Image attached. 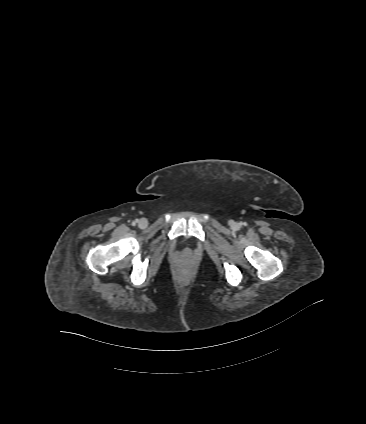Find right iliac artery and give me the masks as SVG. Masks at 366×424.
I'll list each match as a JSON object with an SVG mask.
<instances>
[{"mask_svg": "<svg viewBox=\"0 0 366 424\" xmlns=\"http://www.w3.org/2000/svg\"><path fill=\"white\" fill-rule=\"evenodd\" d=\"M137 222H138V220H135V221H133V223H132V224H133V225H135Z\"/></svg>", "mask_w": 366, "mask_h": 424, "instance_id": "obj_1", "label": "right iliac artery"}]
</instances>
